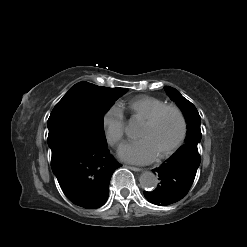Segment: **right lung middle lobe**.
<instances>
[{
    "mask_svg": "<svg viewBox=\"0 0 247 247\" xmlns=\"http://www.w3.org/2000/svg\"><path fill=\"white\" fill-rule=\"evenodd\" d=\"M128 89L100 87L88 82L75 84L56 104L47 122L48 129L65 127L106 144L103 117Z\"/></svg>",
    "mask_w": 247,
    "mask_h": 247,
    "instance_id": "1",
    "label": "right lung middle lobe"
}]
</instances>
